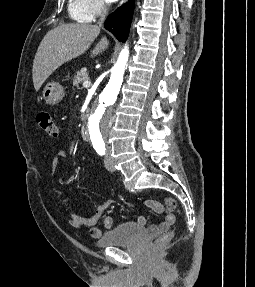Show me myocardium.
I'll return each instance as SVG.
<instances>
[{
    "mask_svg": "<svg viewBox=\"0 0 255 287\" xmlns=\"http://www.w3.org/2000/svg\"><path fill=\"white\" fill-rule=\"evenodd\" d=\"M98 39H106V38H98ZM97 48H113V47H97Z\"/></svg>",
    "mask_w": 255,
    "mask_h": 287,
    "instance_id": "myocardium-1",
    "label": "myocardium"
}]
</instances>
